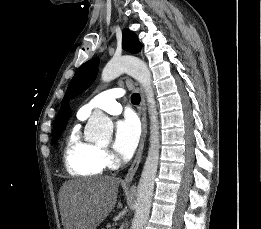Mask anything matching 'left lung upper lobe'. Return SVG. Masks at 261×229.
<instances>
[{"mask_svg":"<svg viewBox=\"0 0 261 229\" xmlns=\"http://www.w3.org/2000/svg\"><path fill=\"white\" fill-rule=\"evenodd\" d=\"M122 46L131 53L139 52L142 47L137 36L128 30L123 31ZM98 63L99 59L94 58L80 66L69 83L62 103L81 94L93 83L98 73Z\"/></svg>","mask_w":261,"mask_h":229,"instance_id":"obj_1","label":"left lung upper lobe"}]
</instances>
